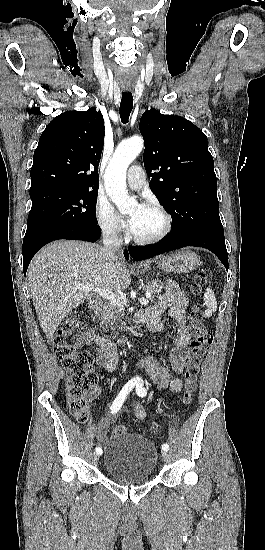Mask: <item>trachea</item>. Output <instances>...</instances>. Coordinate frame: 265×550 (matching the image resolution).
<instances>
[{"mask_svg":"<svg viewBox=\"0 0 265 550\" xmlns=\"http://www.w3.org/2000/svg\"><path fill=\"white\" fill-rule=\"evenodd\" d=\"M133 108V96L130 92H123L120 103V117L122 123L126 124L129 120Z\"/></svg>","mask_w":265,"mask_h":550,"instance_id":"1","label":"trachea"}]
</instances>
